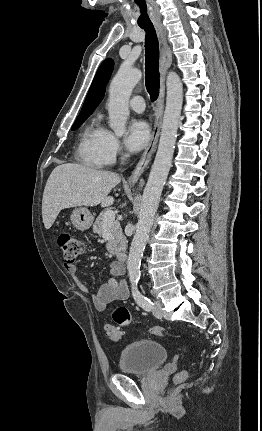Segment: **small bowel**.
Returning a JSON list of instances; mask_svg holds the SVG:
<instances>
[{
  "label": "small bowel",
  "mask_w": 262,
  "mask_h": 431,
  "mask_svg": "<svg viewBox=\"0 0 262 431\" xmlns=\"http://www.w3.org/2000/svg\"><path fill=\"white\" fill-rule=\"evenodd\" d=\"M65 269L72 276L74 283L82 293L90 294V289L83 284L73 264H66ZM111 278L103 282L93 296V303L97 310L104 311L108 305L128 298L129 290L125 283L119 282L118 277L125 272V265L117 260L110 264Z\"/></svg>",
  "instance_id": "c3829d8e"
}]
</instances>
